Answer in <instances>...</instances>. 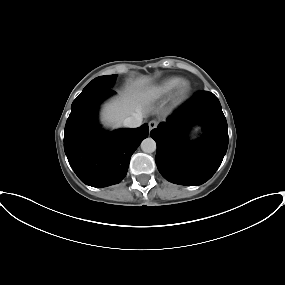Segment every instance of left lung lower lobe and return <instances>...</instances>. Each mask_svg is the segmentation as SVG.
Segmentation results:
<instances>
[{"instance_id": "0a47b994", "label": "left lung lower lobe", "mask_w": 285, "mask_h": 285, "mask_svg": "<svg viewBox=\"0 0 285 285\" xmlns=\"http://www.w3.org/2000/svg\"><path fill=\"white\" fill-rule=\"evenodd\" d=\"M195 124L204 127L202 138L187 137ZM156 141L155 161L161 175L180 185H201L220 166L228 147V126L218 98L197 92L192 99L161 122L150 133Z\"/></svg>"}]
</instances>
